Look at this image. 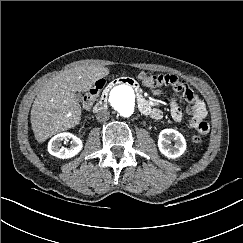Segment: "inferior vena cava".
<instances>
[{"mask_svg": "<svg viewBox=\"0 0 243 243\" xmlns=\"http://www.w3.org/2000/svg\"><path fill=\"white\" fill-rule=\"evenodd\" d=\"M109 116H110V113L106 109H102V110L98 111L96 114V118L100 122L107 121L109 119Z\"/></svg>", "mask_w": 243, "mask_h": 243, "instance_id": "inferior-vena-cava-1", "label": "inferior vena cava"}]
</instances>
